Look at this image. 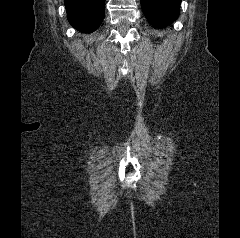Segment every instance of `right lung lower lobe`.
I'll use <instances>...</instances> for the list:
<instances>
[{
  "label": "right lung lower lobe",
  "instance_id": "obj_1",
  "mask_svg": "<svg viewBox=\"0 0 240 238\" xmlns=\"http://www.w3.org/2000/svg\"><path fill=\"white\" fill-rule=\"evenodd\" d=\"M67 18L79 31L93 32L104 18L105 0H64Z\"/></svg>",
  "mask_w": 240,
  "mask_h": 238
}]
</instances>
